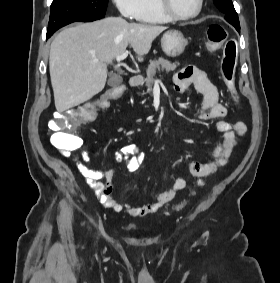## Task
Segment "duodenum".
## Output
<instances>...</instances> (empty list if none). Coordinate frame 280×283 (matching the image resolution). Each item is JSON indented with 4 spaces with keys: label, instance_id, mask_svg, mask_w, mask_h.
I'll use <instances>...</instances> for the list:
<instances>
[{
    "label": "duodenum",
    "instance_id": "410a0bca",
    "mask_svg": "<svg viewBox=\"0 0 280 283\" xmlns=\"http://www.w3.org/2000/svg\"><path fill=\"white\" fill-rule=\"evenodd\" d=\"M143 83V78L141 75H133L130 79L131 87H138Z\"/></svg>",
    "mask_w": 280,
    "mask_h": 283
}]
</instances>
